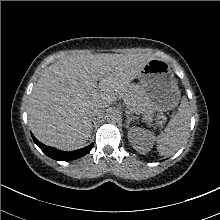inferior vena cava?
I'll return each instance as SVG.
<instances>
[{
	"label": "inferior vena cava",
	"mask_w": 220,
	"mask_h": 220,
	"mask_svg": "<svg viewBox=\"0 0 220 220\" xmlns=\"http://www.w3.org/2000/svg\"><path fill=\"white\" fill-rule=\"evenodd\" d=\"M104 115V108H95L90 113V118L92 121L99 120Z\"/></svg>",
	"instance_id": "inferior-vena-cava-1"
}]
</instances>
